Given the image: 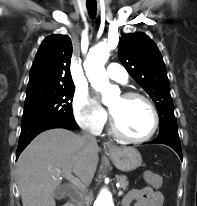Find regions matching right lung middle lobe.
I'll use <instances>...</instances> for the list:
<instances>
[{"instance_id": "1", "label": "right lung middle lobe", "mask_w": 197, "mask_h": 206, "mask_svg": "<svg viewBox=\"0 0 197 206\" xmlns=\"http://www.w3.org/2000/svg\"><path fill=\"white\" fill-rule=\"evenodd\" d=\"M74 85L27 89L22 127L51 119H74Z\"/></svg>"}]
</instances>
